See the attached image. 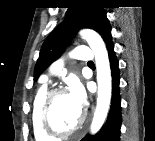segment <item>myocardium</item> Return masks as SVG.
Masks as SVG:
<instances>
[{
	"label": "myocardium",
	"mask_w": 155,
	"mask_h": 141,
	"mask_svg": "<svg viewBox=\"0 0 155 141\" xmlns=\"http://www.w3.org/2000/svg\"><path fill=\"white\" fill-rule=\"evenodd\" d=\"M66 93L64 88H53L46 92L41 106H40V113H39V121L42 130L51 137H68L71 135L76 134L78 131L82 130L86 125V115L82 113L81 119L79 123L70 130H61L56 128L50 120V109L52 100L60 94Z\"/></svg>",
	"instance_id": "obj_1"
}]
</instances>
